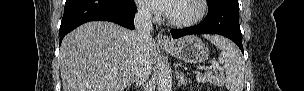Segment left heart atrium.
Listing matches in <instances>:
<instances>
[{
    "instance_id": "39dd6f15",
    "label": "left heart atrium",
    "mask_w": 304,
    "mask_h": 91,
    "mask_svg": "<svg viewBox=\"0 0 304 91\" xmlns=\"http://www.w3.org/2000/svg\"><path fill=\"white\" fill-rule=\"evenodd\" d=\"M146 7L168 14L170 0H144Z\"/></svg>"
}]
</instances>
